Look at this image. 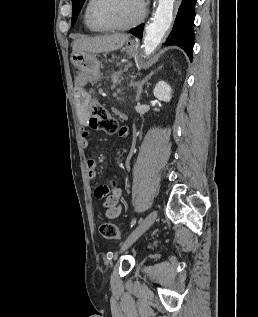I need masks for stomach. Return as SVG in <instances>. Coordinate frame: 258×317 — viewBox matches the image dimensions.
I'll use <instances>...</instances> for the list:
<instances>
[{
    "label": "stomach",
    "mask_w": 258,
    "mask_h": 317,
    "mask_svg": "<svg viewBox=\"0 0 258 317\" xmlns=\"http://www.w3.org/2000/svg\"><path fill=\"white\" fill-rule=\"evenodd\" d=\"M124 50L130 56H138L139 54V44L136 40H127ZM71 60L75 64L76 68L82 72V74H99V62L92 52H87V50H79L72 54Z\"/></svg>",
    "instance_id": "obj_1"
}]
</instances>
